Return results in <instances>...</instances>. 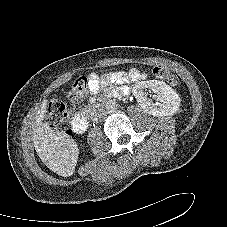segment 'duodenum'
<instances>
[{
  "instance_id": "1",
  "label": "duodenum",
  "mask_w": 227,
  "mask_h": 227,
  "mask_svg": "<svg viewBox=\"0 0 227 227\" xmlns=\"http://www.w3.org/2000/svg\"><path fill=\"white\" fill-rule=\"evenodd\" d=\"M72 124L75 131L84 132L88 128L87 112L84 111L75 115Z\"/></svg>"
}]
</instances>
